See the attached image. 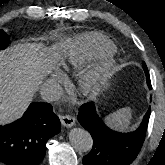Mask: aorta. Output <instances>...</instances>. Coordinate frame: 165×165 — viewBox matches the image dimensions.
I'll use <instances>...</instances> for the list:
<instances>
[{"label": "aorta", "instance_id": "obj_1", "mask_svg": "<svg viewBox=\"0 0 165 165\" xmlns=\"http://www.w3.org/2000/svg\"><path fill=\"white\" fill-rule=\"evenodd\" d=\"M69 140L72 146L80 152L90 151L93 146V139L85 129L73 128L69 132Z\"/></svg>", "mask_w": 165, "mask_h": 165}]
</instances>
